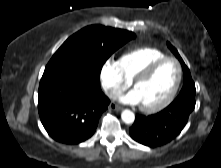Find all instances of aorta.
Segmentation results:
<instances>
[{
	"label": "aorta",
	"mask_w": 221,
	"mask_h": 168,
	"mask_svg": "<svg viewBox=\"0 0 221 168\" xmlns=\"http://www.w3.org/2000/svg\"><path fill=\"white\" fill-rule=\"evenodd\" d=\"M122 121L126 124H131L135 120V115L130 110H124L121 114Z\"/></svg>",
	"instance_id": "1"
}]
</instances>
